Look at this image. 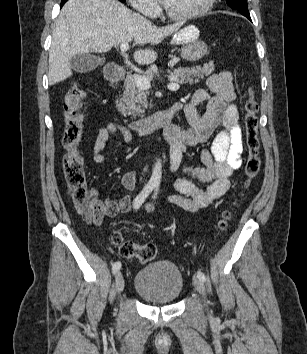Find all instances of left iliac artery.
<instances>
[{
  "mask_svg": "<svg viewBox=\"0 0 307 354\" xmlns=\"http://www.w3.org/2000/svg\"><path fill=\"white\" fill-rule=\"evenodd\" d=\"M158 189H159V185H156L155 186V192H154V195H153L154 199H156V197H157ZM197 277L203 282L206 281V277H205V274L203 272H197Z\"/></svg>",
  "mask_w": 307,
  "mask_h": 354,
  "instance_id": "obj_1",
  "label": "left iliac artery"
}]
</instances>
